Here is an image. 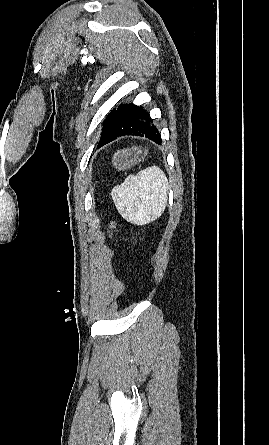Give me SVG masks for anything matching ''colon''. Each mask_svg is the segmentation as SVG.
<instances>
[{
    "label": "colon",
    "mask_w": 269,
    "mask_h": 445,
    "mask_svg": "<svg viewBox=\"0 0 269 445\" xmlns=\"http://www.w3.org/2000/svg\"><path fill=\"white\" fill-rule=\"evenodd\" d=\"M109 230L112 232L115 228V223L114 222H110L108 225Z\"/></svg>",
    "instance_id": "5ec220e1"
}]
</instances>
